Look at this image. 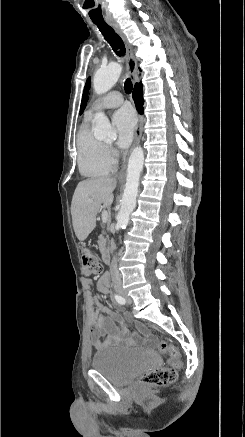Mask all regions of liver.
<instances>
[{"instance_id":"obj_1","label":"liver","mask_w":245,"mask_h":437,"mask_svg":"<svg viewBox=\"0 0 245 437\" xmlns=\"http://www.w3.org/2000/svg\"><path fill=\"white\" fill-rule=\"evenodd\" d=\"M117 181L114 178H91L78 183L71 203L75 235L84 241L96 226V216L103 208H110ZM92 199L90 203L88 200Z\"/></svg>"}]
</instances>
